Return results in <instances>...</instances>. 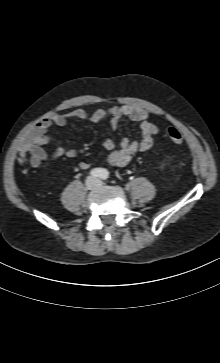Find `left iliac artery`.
Segmentation results:
<instances>
[{"label":"left iliac artery","mask_w":220,"mask_h":363,"mask_svg":"<svg viewBox=\"0 0 220 363\" xmlns=\"http://www.w3.org/2000/svg\"><path fill=\"white\" fill-rule=\"evenodd\" d=\"M108 177H109V172L106 169H103L101 173V178L103 180H106Z\"/></svg>","instance_id":"1"}]
</instances>
